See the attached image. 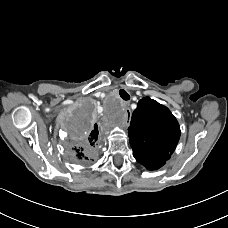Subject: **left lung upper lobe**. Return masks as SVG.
I'll return each instance as SVG.
<instances>
[{"instance_id": "5c2ea615", "label": "left lung upper lobe", "mask_w": 228, "mask_h": 228, "mask_svg": "<svg viewBox=\"0 0 228 228\" xmlns=\"http://www.w3.org/2000/svg\"><path fill=\"white\" fill-rule=\"evenodd\" d=\"M128 133L135 159L152 170L157 162L165 163L174 152L180 126L167 107L145 97L132 114Z\"/></svg>"}]
</instances>
